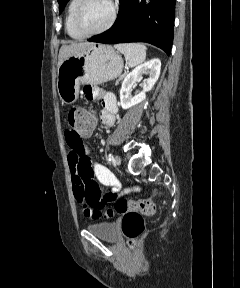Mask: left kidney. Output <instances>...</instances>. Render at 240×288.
<instances>
[{
	"instance_id": "obj_1",
	"label": "left kidney",
	"mask_w": 240,
	"mask_h": 288,
	"mask_svg": "<svg viewBox=\"0 0 240 288\" xmlns=\"http://www.w3.org/2000/svg\"><path fill=\"white\" fill-rule=\"evenodd\" d=\"M161 69V61L157 58L151 59L133 69L122 82L120 89V104L123 109H129L146 99V92L150 91L157 82ZM149 77L142 81L143 90L132 97L131 89L136 82L142 80V75Z\"/></svg>"
}]
</instances>
